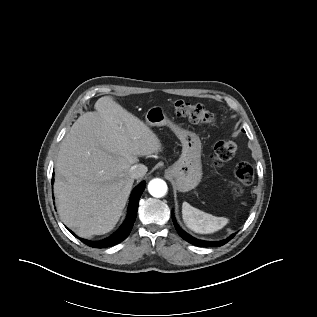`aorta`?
Listing matches in <instances>:
<instances>
[{"instance_id":"762f6f07","label":"aorta","mask_w":317,"mask_h":317,"mask_svg":"<svg viewBox=\"0 0 317 317\" xmlns=\"http://www.w3.org/2000/svg\"><path fill=\"white\" fill-rule=\"evenodd\" d=\"M168 190L167 184L160 178L152 179L148 185L149 193L155 198H161L166 195Z\"/></svg>"}]
</instances>
